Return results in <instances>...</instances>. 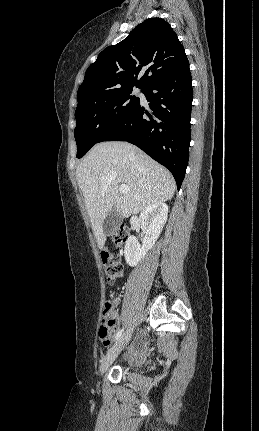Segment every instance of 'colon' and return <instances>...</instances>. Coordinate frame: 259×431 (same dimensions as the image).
<instances>
[{"label":"colon","mask_w":259,"mask_h":431,"mask_svg":"<svg viewBox=\"0 0 259 431\" xmlns=\"http://www.w3.org/2000/svg\"><path fill=\"white\" fill-rule=\"evenodd\" d=\"M128 235L129 229L127 227L121 226L112 232L110 238L115 247L120 250L125 246ZM100 256L107 282L112 285L123 275L124 269L120 256L108 249H103L100 253ZM113 308V303L108 301L105 303L103 309V320L99 328V336L105 346L109 345L112 330L117 325V318L113 313Z\"/></svg>","instance_id":"colon-1"}]
</instances>
